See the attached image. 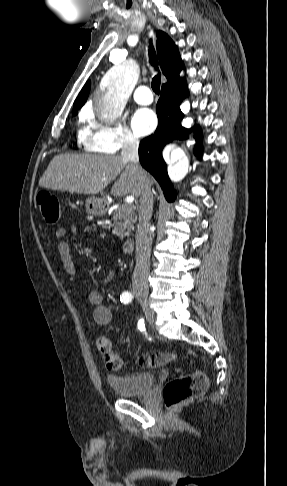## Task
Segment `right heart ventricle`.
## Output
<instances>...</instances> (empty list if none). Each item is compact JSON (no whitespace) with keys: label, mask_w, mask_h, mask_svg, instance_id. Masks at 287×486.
Wrapping results in <instances>:
<instances>
[{"label":"right heart ventricle","mask_w":287,"mask_h":486,"mask_svg":"<svg viewBox=\"0 0 287 486\" xmlns=\"http://www.w3.org/2000/svg\"><path fill=\"white\" fill-rule=\"evenodd\" d=\"M86 134L87 132L86 131H79V136L82 137V138H85L86 137Z\"/></svg>","instance_id":"e07e8e85"}]
</instances>
